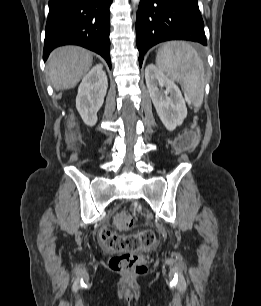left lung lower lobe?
Segmentation results:
<instances>
[{
  "instance_id": "1",
  "label": "left lung lower lobe",
  "mask_w": 261,
  "mask_h": 306,
  "mask_svg": "<svg viewBox=\"0 0 261 306\" xmlns=\"http://www.w3.org/2000/svg\"><path fill=\"white\" fill-rule=\"evenodd\" d=\"M168 40L207 45L198 0H141L136 19L140 66L148 49Z\"/></svg>"
}]
</instances>
